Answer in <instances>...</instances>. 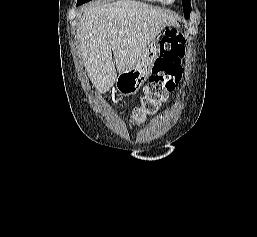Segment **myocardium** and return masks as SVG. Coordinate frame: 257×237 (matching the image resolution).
Here are the masks:
<instances>
[{"label": "myocardium", "mask_w": 257, "mask_h": 237, "mask_svg": "<svg viewBox=\"0 0 257 237\" xmlns=\"http://www.w3.org/2000/svg\"><path fill=\"white\" fill-rule=\"evenodd\" d=\"M175 0H164L165 3H173Z\"/></svg>", "instance_id": "f54148a6"}]
</instances>
